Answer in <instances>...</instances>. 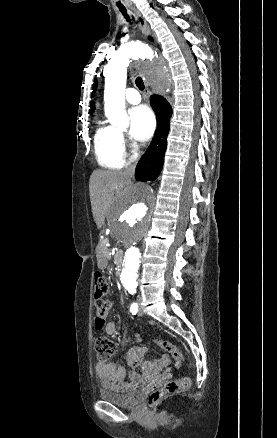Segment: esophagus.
<instances>
[{
  "instance_id": "esophagus-1",
  "label": "esophagus",
  "mask_w": 277,
  "mask_h": 438,
  "mask_svg": "<svg viewBox=\"0 0 277 438\" xmlns=\"http://www.w3.org/2000/svg\"><path fill=\"white\" fill-rule=\"evenodd\" d=\"M131 9L134 10L135 13H136V16H137V19H138V23H139V28H140V31H141L142 35L143 36L149 35L150 30H149V26L147 25V22H146L145 18L134 7H131ZM158 55H159V57H158L159 64L161 65L162 68L166 67V62L163 60L161 54L159 53ZM144 93H145V95H148L149 89L147 87L145 88Z\"/></svg>"
}]
</instances>
